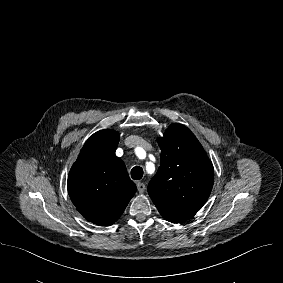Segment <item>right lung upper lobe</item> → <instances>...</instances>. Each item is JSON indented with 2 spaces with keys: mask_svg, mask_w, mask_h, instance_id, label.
I'll return each instance as SVG.
<instances>
[{
  "mask_svg": "<svg viewBox=\"0 0 283 283\" xmlns=\"http://www.w3.org/2000/svg\"><path fill=\"white\" fill-rule=\"evenodd\" d=\"M119 133L105 129L84 144L68 176V193L84 218L110 226L136 192L124 162L115 155Z\"/></svg>",
  "mask_w": 283,
  "mask_h": 283,
  "instance_id": "obj_1",
  "label": "right lung upper lobe"
}]
</instances>
